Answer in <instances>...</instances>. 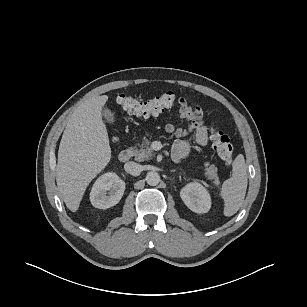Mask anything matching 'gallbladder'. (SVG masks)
<instances>
[{
    "label": "gallbladder",
    "mask_w": 307,
    "mask_h": 307,
    "mask_svg": "<svg viewBox=\"0 0 307 307\" xmlns=\"http://www.w3.org/2000/svg\"><path fill=\"white\" fill-rule=\"evenodd\" d=\"M102 115L107 123L113 124L115 122V115L109 108H104Z\"/></svg>",
    "instance_id": "obj_1"
}]
</instances>
